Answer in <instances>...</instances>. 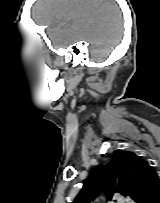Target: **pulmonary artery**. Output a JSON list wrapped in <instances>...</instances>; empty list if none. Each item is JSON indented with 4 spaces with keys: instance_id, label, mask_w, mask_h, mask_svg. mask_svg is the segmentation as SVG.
Here are the masks:
<instances>
[{
    "instance_id": "pulmonary-artery-1",
    "label": "pulmonary artery",
    "mask_w": 160,
    "mask_h": 203,
    "mask_svg": "<svg viewBox=\"0 0 160 203\" xmlns=\"http://www.w3.org/2000/svg\"><path fill=\"white\" fill-rule=\"evenodd\" d=\"M120 203H133V202L130 201V200H123V201H121Z\"/></svg>"
}]
</instances>
